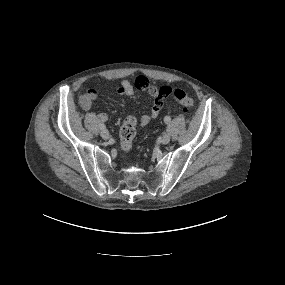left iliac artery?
Instances as JSON below:
<instances>
[{"label":"left iliac artery","mask_w":285,"mask_h":285,"mask_svg":"<svg viewBox=\"0 0 285 285\" xmlns=\"http://www.w3.org/2000/svg\"><path fill=\"white\" fill-rule=\"evenodd\" d=\"M170 120H171V118L169 116H166L164 118V121H165L166 124H168L170 122Z\"/></svg>","instance_id":"1"}]
</instances>
